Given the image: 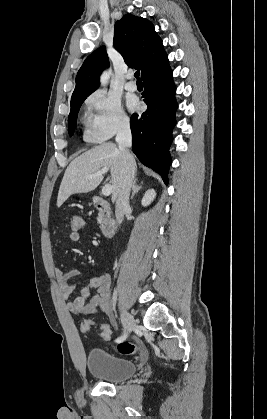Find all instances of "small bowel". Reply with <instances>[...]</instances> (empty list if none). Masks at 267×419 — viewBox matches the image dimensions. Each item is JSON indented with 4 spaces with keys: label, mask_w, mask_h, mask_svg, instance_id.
Listing matches in <instances>:
<instances>
[{
    "label": "small bowel",
    "mask_w": 267,
    "mask_h": 419,
    "mask_svg": "<svg viewBox=\"0 0 267 419\" xmlns=\"http://www.w3.org/2000/svg\"><path fill=\"white\" fill-rule=\"evenodd\" d=\"M69 238L76 242L80 234L70 232ZM77 269L63 272L59 267L54 268V275L59 284L60 293L67 301L68 310L77 316H90L99 313L108 314L110 310L111 277L107 273L91 277L86 284L78 287L72 280L80 275ZM96 293L89 299L91 290ZM77 294L72 298L74 293Z\"/></svg>",
    "instance_id": "c3829d8e"
}]
</instances>
